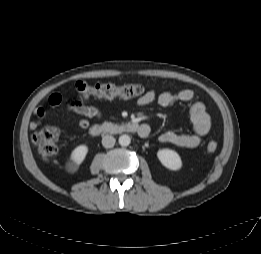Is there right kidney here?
<instances>
[{"label":"right kidney","instance_id":"1","mask_svg":"<svg viewBox=\"0 0 261 254\" xmlns=\"http://www.w3.org/2000/svg\"><path fill=\"white\" fill-rule=\"evenodd\" d=\"M88 153V147L86 145L77 146L71 153L70 159L75 167H78L85 160Z\"/></svg>","mask_w":261,"mask_h":254}]
</instances>
